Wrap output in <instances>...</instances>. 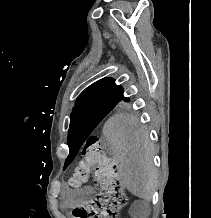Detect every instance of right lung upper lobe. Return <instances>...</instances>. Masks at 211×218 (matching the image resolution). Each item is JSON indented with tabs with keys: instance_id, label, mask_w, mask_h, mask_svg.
<instances>
[{
	"instance_id": "1",
	"label": "right lung upper lobe",
	"mask_w": 211,
	"mask_h": 218,
	"mask_svg": "<svg viewBox=\"0 0 211 218\" xmlns=\"http://www.w3.org/2000/svg\"><path fill=\"white\" fill-rule=\"evenodd\" d=\"M124 100L123 90L111 78L101 79L86 88L78 97L76 105L93 101Z\"/></svg>"
}]
</instances>
